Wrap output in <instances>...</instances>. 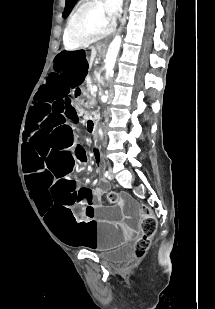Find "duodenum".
I'll use <instances>...</instances> for the list:
<instances>
[{"instance_id":"410a0bca","label":"duodenum","mask_w":215,"mask_h":309,"mask_svg":"<svg viewBox=\"0 0 215 309\" xmlns=\"http://www.w3.org/2000/svg\"><path fill=\"white\" fill-rule=\"evenodd\" d=\"M98 118H99V115L96 113L88 114L86 122H87V127L89 130L95 131V126H96Z\"/></svg>"}]
</instances>
